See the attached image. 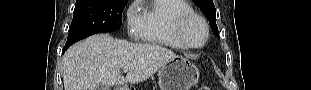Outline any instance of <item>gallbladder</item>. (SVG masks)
I'll return each mask as SVG.
<instances>
[{"label": "gallbladder", "mask_w": 311, "mask_h": 90, "mask_svg": "<svg viewBox=\"0 0 311 90\" xmlns=\"http://www.w3.org/2000/svg\"><path fill=\"white\" fill-rule=\"evenodd\" d=\"M96 90H109L107 85L100 84L97 86Z\"/></svg>", "instance_id": "obj_1"}]
</instances>
